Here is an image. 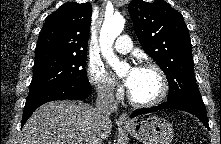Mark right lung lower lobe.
<instances>
[{
  "mask_svg": "<svg viewBox=\"0 0 221 144\" xmlns=\"http://www.w3.org/2000/svg\"><path fill=\"white\" fill-rule=\"evenodd\" d=\"M91 94V88L81 86L61 85L50 88L34 98L27 100L24 107V114L21 126L28 120L31 114L42 104L64 99L82 100Z\"/></svg>",
  "mask_w": 221,
  "mask_h": 144,
  "instance_id": "obj_1",
  "label": "right lung lower lobe"
}]
</instances>
